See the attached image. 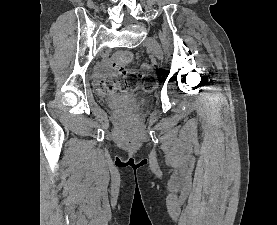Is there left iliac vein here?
<instances>
[{"instance_id": "left-iliac-vein-1", "label": "left iliac vein", "mask_w": 277, "mask_h": 225, "mask_svg": "<svg viewBox=\"0 0 277 225\" xmlns=\"http://www.w3.org/2000/svg\"><path fill=\"white\" fill-rule=\"evenodd\" d=\"M144 45L146 47L150 48L153 51V53L158 58V60H162L163 59L162 49H161L159 43L157 42V40L155 38L148 37L145 40Z\"/></svg>"}]
</instances>
